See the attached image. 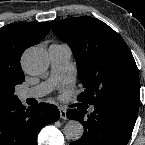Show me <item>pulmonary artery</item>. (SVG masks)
Segmentation results:
<instances>
[{
  "instance_id": "pulmonary-artery-1",
  "label": "pulmonary artery",
  "mask_w": 145,
  "mask_h": 145,
  "mask_svg": "<svg viewBox=\"0 0 145 145\" xmlns=\"http://www.w3.org/2000/svg\"><path fill=\"white\" fill-rule=\"evenodd\" d=\"M49 54L51 60L50 78L39 85L23 89L19 93L22 101L28 98H41L47 95L52 91L57 81L64 76L72 54L70 47L66 44H52L49 47Z\"/></svg>"
}]
</instances>
